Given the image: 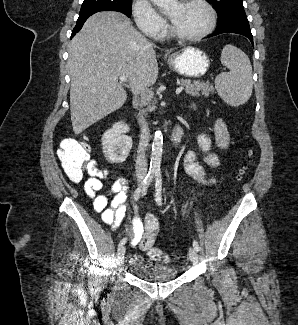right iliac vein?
<instances>
[{
    "label": "right iliac vein",
    "mask_w": 298,
    "mask_h": 325,
    "mask_svg": "<svg viewBox=\"0 0 298 325\" xmlns=\"http://www.w3.org/2000/svg\"><path fill=\"white\" fill-rule=\"evenodd\" d=\"M139 183H142V178L139 179ZM125 253H126L125 246L124 245L119 246L117 251V261L119 265L123 262Z\"/></svg>",
    "instance_id": "63e3f726"
}]
</instances>
